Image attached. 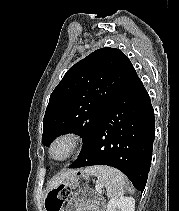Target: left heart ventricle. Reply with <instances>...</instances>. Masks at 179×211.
<instances>
[{
	"label": "left heart ventricle",
	"mask_w": 179,
	"mask_h": 211,
	"mask_svg": "<svg viewBox=\"0 0 179 211\" xmlns=\"http://www.w3.org/2000/svg\"><path fill=\"white\" fill-rule=\"evenodd\" d=\"M65 151V147L64 146H59L57 147V149L55 150V155L56 156H61Z\"/></svg>",
	"instance_id": "1"
}]
</instances>
